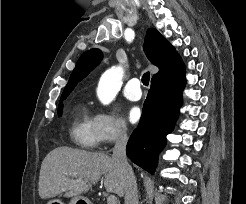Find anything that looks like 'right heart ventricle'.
<instances>
[{"mask_svg": "<svg viewBox=\"0 0 246 204\" xmlns=\"http://www.w3.org/2000/svg\"><path fill=\"white\" fill-rule=\"evenodd\" d=\"M69 133L72 141L81 148L94 149L99 143L94 117L84 106L75 108Z\"/></svg>", "mask_w": 246, "mask_h": 204, "instance_id": "obj_1", "label": "right heart ventricle"}]
</instances>
